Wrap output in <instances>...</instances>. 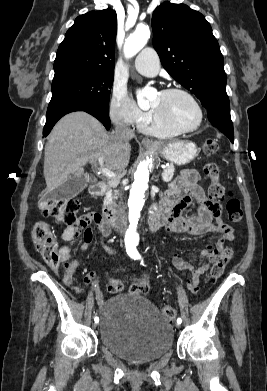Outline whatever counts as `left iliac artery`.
I'll return each mask as SVG.
<instances>
[{"label": "left iliac artery", "mask_w": 267, "mask_h": 391, "mask_svg": "<svg viewBox=\"0 0 267 391\" xmlns=\"http://www.w3.org/2000/svg\"><path fill=\"white\" fill-rule=\"evenodd\" d=\"M137 258H139V257H137ZM181 322H182L181 318H178L177 323L181 324Z\"/></svg>", "instance_id": "1"}]
</instances>
